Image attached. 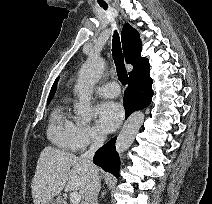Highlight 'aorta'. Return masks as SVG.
Here are the masks:
<instances>
[{"instance_id": "762f6f07", "label": "aorta", "mask_w": 212, "mask_h": 204, "mask_svg": "<svg viewBox=\"0 0 212 204\" xmlns=\"http://www.w3.org/2000/svg\"><path fill=\"white\" fill-rule=\"evenodd\" d=\"M105 68V61L98 55H91L82 65L79 74L75 92L78 102L74 105L77 118L88 123L94 116L91 105V95L94 86L100 80ZM144 121L142 112L133 113L125 122L116 140V150L119 153L126 151L133 143L136 134Z\"/></svg>"}]
</instances>
